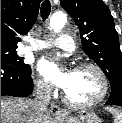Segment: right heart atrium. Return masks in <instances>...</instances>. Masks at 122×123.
<instances>
[{
  "instance_id": "d8ad5b80",
  "label": "right heart atrium",
  "mask_w": 122,
  "mask_h": 123,
  "mask_svg": "<svg viewBox=\"0 0 122 123\" xmlns=\"http://www.w3.org/2000/svg\"><path fill=\"white\" fill-rule=\"evenodd\" d=\"M37 88H38V91L43 95H47L51 92L50 86L41 79L37 81Z\"/></svg>"
}]
</instances>
